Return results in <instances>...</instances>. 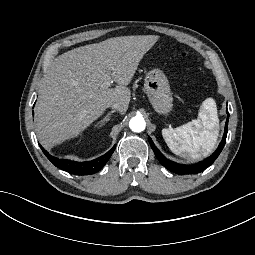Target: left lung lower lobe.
<instances>
[{
    "label": "left lung lower lobe",
    "mask_w": 255,
    "mask_h": 255,
    "mask_svg": "<svg viewBox=\"0 0 255 255\" xmlns=\"http://www.w3.org/2000/svg\"><path fill=\"white\" fill-rule=\"evenodd\" d=\"M227 115H228V117H227L226 124H225V132H224L222 141L219 144L218 148L216 149V151L210 157H208L205 160L200 161L196 164L184 165V164H178V163H175L171 160H168L156 148V146L154 145L151 138H149V143H150L151 148L153 149L157 159L159 160V162L164 167H166L168 170H170L174 173H177V174H197V173H200L204 169L209 167L216 160V158L219 156V154L221 153V151H222V149H223V147L226 143V136H227V132H228V119H229L228 111H227Z\"/></svg>",
    "instance_id": "0a47b994"
}]
</instances>
